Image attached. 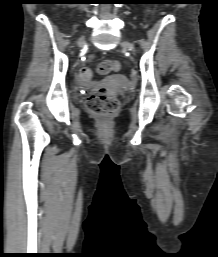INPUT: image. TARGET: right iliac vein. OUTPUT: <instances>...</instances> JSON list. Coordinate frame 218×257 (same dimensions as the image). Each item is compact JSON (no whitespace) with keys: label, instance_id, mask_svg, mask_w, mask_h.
<instances>
[{"label":"right iliac vein","instance_id":"1","mask_svg":"<svg viewBox=\"0 0 218 257\" xmlns=\"http://www.w3.org/2000/svg\"><path fill=\"white\" fill-rule=\"evenodd\" d=\"M84 40H85L84 37L79 38L77 42L78 47L82 46V44L84 43Z\"/></svg>","mask_w":218,"mask_h":257}]
</instances>
